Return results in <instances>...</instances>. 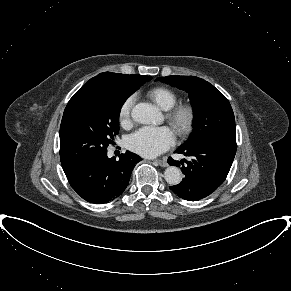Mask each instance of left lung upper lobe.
<instances>
[{"instance_id":"left-lung-upper-lobe-1","label":"left lung upper lobe","mask_w":291,"mask_h":291,"mask_svg":"<svg viewBox=\"0 0 291 291\" xmlns=\"http://www.w3.org/2000/svg\"><path fill=\"white\" fill-rule=\"evenodd\" d=\"M157 80L187 91L190 97L195 113L194 129L182 146L197 145L217 137H236L231 105L209 82L195 76H167Z\"/></svg>"}]
</instances>
